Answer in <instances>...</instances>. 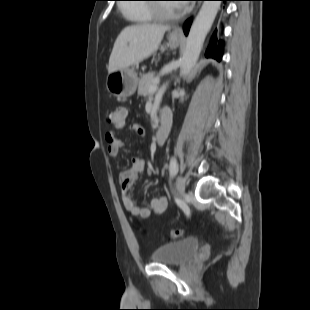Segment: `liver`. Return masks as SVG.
Wrapping results in <instances>:
<instances>
[{
    "label": "liver",
    "instance_id": "liver-1",
    "mask_svg": "<svg viewBox=\"0 0 310 310\" xmlns=\"http://www.w3.org/2000/svg\"><path fill=\"white\" fill-rule=\"evenodd\" d=\"M169 26L139 24L124 28L118 35L108 65V72L137 65L158 49Z\"/></svg>",
    "mask_w": 310,
    "mask_h": 310
}]
</instances>
